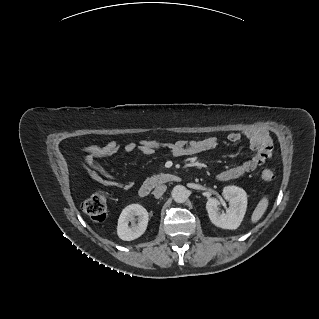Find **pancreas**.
Wrapping results in <instances>:
<instances>
[{"instance_id":"1","label":"pancreas","mask_w":319,"mask_h":319,"mask_svg":"<svg viewBox=\"0 0 319 319\" xmlns=\"http://www.w3.org/2000/svg\"><path fill=\"white\" fill-rule=\"evenodd\" d=\"M152 179L156 182V183H160L161 180V174H157V175H153Z\"/></svg>"}]
</instances>
